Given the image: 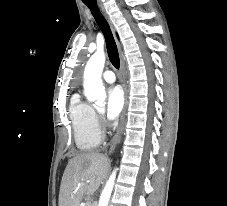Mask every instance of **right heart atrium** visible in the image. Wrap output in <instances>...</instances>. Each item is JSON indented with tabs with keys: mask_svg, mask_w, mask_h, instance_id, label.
I'll use <instances>...</instances> for the list:
<instances>
[{
	"mask_svg": "<svg viewBox=\"0 0 227 206\" xmlns=\"http://www.w3.org/2000/svg\"><path fill=\"white\" fill-rule=\"evenodd\" d=\"M95 123H96L97 127H100L102 124V117L98 114H95Z\"/></svg>",
	"mask_w": 227,
	"mask_h": 206,
	"instance_id": "right-heart-atrium-1",
	"label": "right heart atrium"
}]
</instances>
